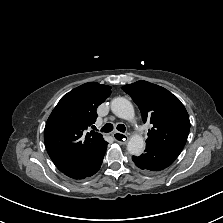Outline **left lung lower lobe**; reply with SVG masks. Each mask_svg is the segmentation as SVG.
Returning a JSON list of instances; mask_svg holds the SVG:
<instances>
[{"instance_id": "0a47b994", "label": "left lung lower lobe", "mask_w": 223, "mask_h": 223, "mask_svg": "<svg viewBox=\"0 0 223 223\" xmlns=\"http://www.w3.org/2000/svg\"><path fill=\"white\" fill-rule=\"evenodd\" d=\"M179 153L170 149L146 144L145 152L140 156H133V162L144 173L161 171L171 165Z\"/></svg>"}]
</instances>
